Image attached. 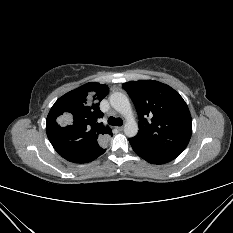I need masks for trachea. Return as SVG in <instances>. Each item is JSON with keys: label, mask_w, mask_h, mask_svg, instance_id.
<instances>
[{"label": "trachea", "mask_w": 233, "mask_h": 233, "mask_svg": "<svg viewBox=\"0 0 233 233\" xmlns=\"http://www.w3.org/2000/svg\"><path fill=\"white\" fill-rule=\"evenodd\" d=\"M108 124L112 126H122L123 120L121 118H115L111 116L108 118Z\"/></svg>", "instance_id": "trachea-1"}]
</instances>
